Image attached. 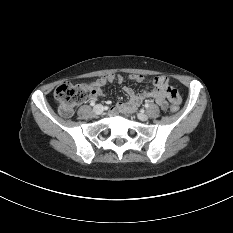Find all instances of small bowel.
I'll list each match as a JSON object with an SVG mask.
<instances>
[{
	"label": "small bowel",
	"instance_id": "obj_1",
	"mask_svg": "<svg viewBox=\"0 0 233 233\" xmlns=\"http://www.w3.org/2000/svg\"><path fill=\"white\" fill-rule=\"evenodd\" d=\"M129 79L138 83L143 82L144 77L140 74H132ZM124 80L123 76L120 74H109L107 76H102L90 85V100L94 101L97 98L104 96L103 88L108 82H118L122 83ZM124 92L128 96V101L118 102L111 110L112 113L123 112L126 115L132 114L146 99H154L156 103L163 109L166 110L168 107L167 98L172 101L170 90H175L172 88L165 77L159 76L153 80L152 90H142L140 92H135L130 87H124Z\"/></svg>",
	"mask_w": 233,
	"mask_h": 233
}]
</instances>
